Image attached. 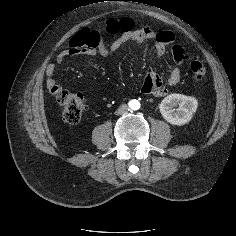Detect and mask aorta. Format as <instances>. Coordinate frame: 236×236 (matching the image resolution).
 Segmentation results:
<instances>
[{
  "instance_id": "aorta-1",
  "label": "aorta",
  "mask_w": 236,
  "mask_h": 236,
  "mask_svg": "<svg viewBox=\"0 0 236 236\" xmlns=\"http://www.w3.org/2000/svg\"><path fill=\"white\" fill-rule=\"evenodd\" d=\"M130 108L133 110H138L140 108V102L138 100H131L130 101Z\"/></svg>"
}]
</instances>
